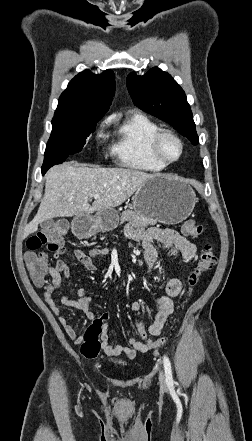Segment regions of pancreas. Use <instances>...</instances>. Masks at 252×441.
<instances>
[{"mask_svg":"<svg viewBox=\"0 0 252 441\" xmlns=\"http://www.w3.org/2000/svg\"><path fill=\"white\" fill-rule=\"evenodd\" d=\"M124 221L137 222L145 227L149 225H155L157 223L156 220L147 218L140 212L133 210H125L122 212L121 222L123 223Z\"/></svg>","mask_w":252,"mask_h":441,"instance_id":"1","label":"pancreas"}]
</instances>
